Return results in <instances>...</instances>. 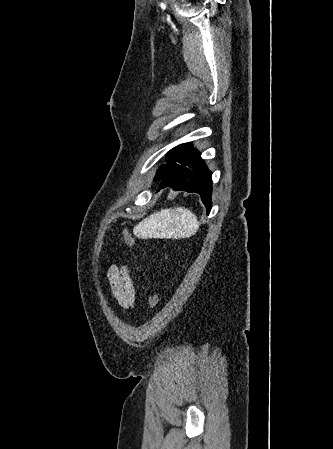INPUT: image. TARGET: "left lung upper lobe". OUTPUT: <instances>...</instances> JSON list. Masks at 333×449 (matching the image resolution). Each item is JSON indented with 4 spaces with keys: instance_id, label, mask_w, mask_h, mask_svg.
<instances>
[{
    "instance_id": "obj_1",
    "label": "left lung upper lobe",
    "mask_w": 333,
    "mask_h": 449,
    "mask_svg": "<svg viewBox=\"0 0 333 449\" xmlns=\"http://www.w3.org/2000/svg\"><path fill=\"white\" fill-rule=\"evenodd\" d=\"M193 147L191 143H185L176 146L171 149L166 154V165H162L157 172L155 180H160L161 178L172 173L176 168H178L182 163L186 161L189 157Z\"/></svg>"
}]
</instances>
